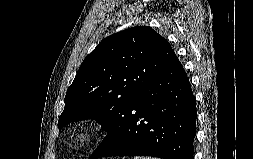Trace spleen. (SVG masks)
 Segmentation results:
<instances>
[{
	"instance_id": "3e777b00",
	"label": "spleen",
	"mask_w": 253,
	"mask_h": 159,
	"mask_svg": "<svg viewBox=\"0 0 253 159\" xmlns=\"http://www.w3.org/2000/svg\"><path fill=\"white\" fill-rule=\"evenodd\" d=\"M134 159H159V158H156V157H145V156H135Z\"/></svg>"
}]
</instances>
